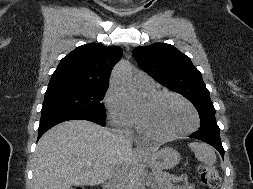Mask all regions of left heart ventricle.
Returning <instances> with one entry per match:
<instances>
[{"instance_id": "obj_1", "label": "left heart ventricle", "mask_w": 253, "mask_h": 189, "mask_svg": "<svg viewBox=\"0 0 253 189\" xmlns=\"http://www.w3.org/2000/svg\"><path fill=\"white\" fill-rule=\"evenodd\" d=\"M143 126L158 135H171L192 126L191 110L173 97H163L154 104L146 101L138 110Z\"/></svg>"}]
</instances>
